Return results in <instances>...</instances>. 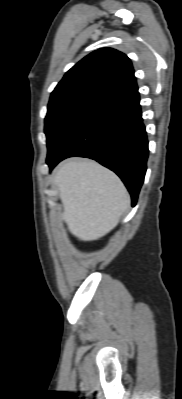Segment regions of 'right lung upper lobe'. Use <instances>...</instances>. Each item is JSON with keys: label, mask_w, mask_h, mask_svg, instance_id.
I'll return each instance as SVG.
<instances>
[{"label": "right lung upper lobe", "mask_w": 182, "mask_h": 399, "mask_svg": "<svg viewBox=\"0 0 182 399\" xmlns=\"http://www.w3.org/2000/svg\"><path fill=\"white\" fill-rule=\"evenodd\" d=\"M137 89L130 59L115 49L103 48L74 65L58 83L50 98L88 95L108 101Z\"/></svg>", "instance_id": "right-lung-upper-lobe-1"}]
</instances>
